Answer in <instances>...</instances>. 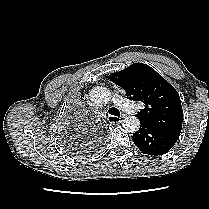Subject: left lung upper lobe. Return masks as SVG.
I'll use <instances>...</instances> for the list:
<instances>
[{"label": "left lung upper lobe", "instance_id": "left-lung-upper-lobe-1", "mask_svg": "<svg viewBox=\"0 0 209 209\" xmlns=\"http://www.w3.org/2000/svg\"><path fill=\"white\" fill-rule=\"evenodd\" d=\"M109 79L126 91L128 99L144 103L136 117L160 130L180 134L183 110L178 92L153 68L143 63L112 73Z\"/></svg>", "mask_w": 209, "mask_h": 209}]
</instances>
